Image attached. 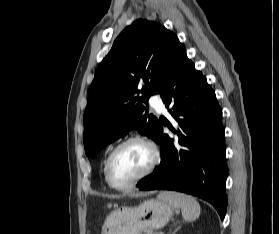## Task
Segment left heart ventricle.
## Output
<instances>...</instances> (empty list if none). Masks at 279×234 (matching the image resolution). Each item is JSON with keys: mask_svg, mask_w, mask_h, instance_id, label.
Wrapping results in <instances>:
<instances>
[{"mask_svg": "<svg viewBox=\"0 0 279 234\" xmlns=\"http://www.w3.org/2000/svg\"><path fill=\"white\" fill-rule=\"evenodd\" d=\"M151 160L150 150L138 142L122 147L110 166L111 179L116 184H125L140 175Z\"/></svg>", "mask_w": 279, "mask_h": 234, "instance_id": "1", "label": "left heart ventricle"}]
</instances>
